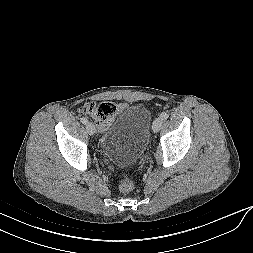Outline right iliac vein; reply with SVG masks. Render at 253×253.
Here are the masks:
<instances>
[{
    "label": "right iliac vein",
    "mask_w": 253,
    "mask_h": 253,
    "mask_svg": "<svg viewBox=\"0 0 253 253\" xmlns=\"http://www.w3.org/2000/svg\"><path fill=\"white\" fill-rule=\"evenodd\" d=\"M86 129L90 135H93L96 132L95 126L91 122L87 123Z\"/></svg>",
    "instance_id": "1"
}]
</instances>
